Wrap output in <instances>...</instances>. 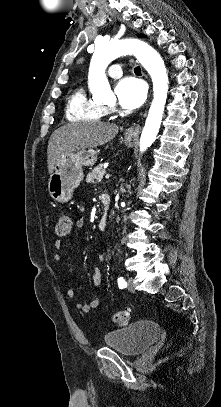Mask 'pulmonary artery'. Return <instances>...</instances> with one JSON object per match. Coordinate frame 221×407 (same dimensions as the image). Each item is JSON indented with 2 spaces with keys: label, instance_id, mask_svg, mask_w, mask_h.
Returning a JSON list of instances; mask_svg holds the SVG:
<instances>
[{
  "label": "pulmonary artery",
  "instance_id": "1",
  "mask_svg": "<svg viewBox=\"0 0 221 407\" xmlns=\"http://www.w3.org/2000/svg\"><path fill=\"white\" fill-rule=\"evenodd\" d=\"M123 74L121 64H113L109 67L108 75L112 78H118Z\"/></svg>",
  "mask_w": 221,
  "mask_h": 407
}]
</instances>
